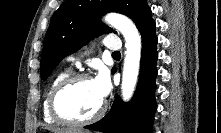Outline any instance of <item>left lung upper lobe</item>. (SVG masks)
<instances>
[{"label":"left lung upper lobe","instance_id":"obj_1","mask_svg":"<svg viewBox=\"0 0 221 133\" xmlns=\"http://www.w3.org/2000/svg\"><path fill=\"white\" fill-rule=\"evenodd\" d=\"M107 12L128 16L139 31L153 21L146 0H65L54 13L45 36L40 63L43 80L65 56L81 49L92 38L113 32L100 19Z\"/></svg>","mask_w":221,"mask_h":133}]
</instances>
